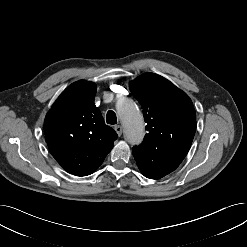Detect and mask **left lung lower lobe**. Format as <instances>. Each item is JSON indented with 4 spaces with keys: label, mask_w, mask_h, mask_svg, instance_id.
<instances>
[{
    "label": "left lung lower lobe",
    "mask_w": 247,
    "mask_h": 247,
    "mask_svg": "<svg viewBox=\"0 0 247 247\" xmlns=\"http://www.w3.org/2000/svg\"><path fill=\"white\" fill-rule=\"evenodd\" d=\"M138 167L141 170L142 174L147 178L159 179L169 174L173 170H175L178 166L171 163L161 162L157 165H151L149 167L146 166H138Z\"/></svg>",
    "instance_id": "1"
}]
</instances>
